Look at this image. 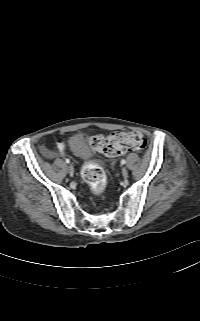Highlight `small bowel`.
I'll list each match as a JSON object with an SVG mask.
<instances>
[{
    "mask_svg": "<svg viewBox=\"0 0 200 321\" xmlns=\"http://www.w3.org/2000/svg\"><path fill=\"white\" fill-rule=\"evenodd\" d=\"M57 147H58V151L59 153L61 154H64L65 153V150H66V146L64 144L63 141H58L57 143ZM44 154L49 157V158H53L55 156V153L54 152H51V151H48V150H44Z\"/></svg>",
    "mask_w": 200,
    "mask_h": 321,
    "instance_id": "obj_1",
    "label": "small bowel"
}]
</instances>
